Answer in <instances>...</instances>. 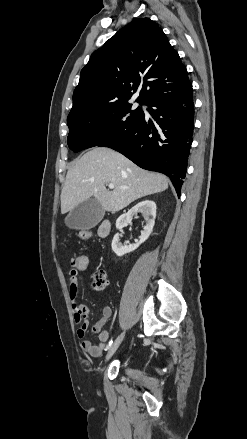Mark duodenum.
Here are the masks:
<instances>
[{
	"label": "duodenum",
	"instance_id": "1",
	"mask_svg": "<svg viewBox=\"0 0 247 439\" xmlns=\"http://www.w3.org/2000/svg\"><path fill=\"white\" fill-rule=\"evenodd\" d=\"M111 231V223L108 220L103 221L98 228V235L102 238L107 237Z\"/></svg>",
	"mask_w": 247,
	"mask_h": 439
}]
</instances>
